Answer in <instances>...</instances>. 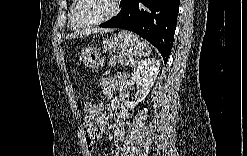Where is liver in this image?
Instances as JSON below:
<instances>
[{
	"label": "liver",
	"instance_id": "6515ba94",
	"mask_svg": "<svg viewBox=\"0 0 247 156\" xmlns=\"http://www.w3.org/2000/svg\"><path fill=\"white\" fill-rule=\"evenodd\" d=\"M112 30L111 29H91V30H85V31H82L80 33H78L79 36H87V35H90L92 33H98V32H111ZM77 35H72V37H76Z\"/></svg>",
	"mask_w": 247,
	"mask_h": 156
}]
</instances>
